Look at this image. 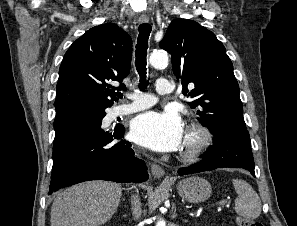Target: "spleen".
Instances as JSON below:
<instances>
[{"label":"spleen","instance_id":"1","mask_svg":"<svg viewBox=\"0 0 297 226\" xmlns=\"http://www.w3.org/2000/svg\"><path fill=\"white\" fill-rule=\"evenodd\" d=\"M233 186L238 198L235 200V211L246 219H256L261 214V200L253 187L242 179H233Z\"/></svg>","mask_w":297,"mask_h":226}]
</instances>
